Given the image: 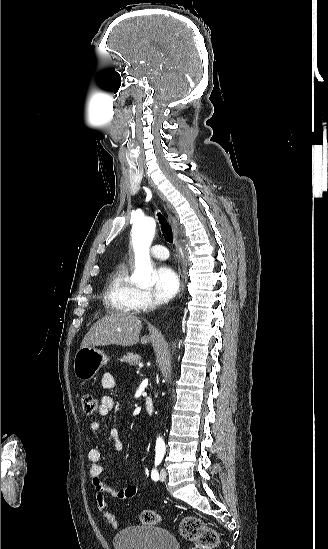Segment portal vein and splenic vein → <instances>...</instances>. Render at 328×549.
I'll return each instance as SVG.
<instances>
[{
    "label": "portal vein and splenic vein",
    "mask_w": 328,
    "mask_h": 549,
    "mask_svg": "<svg viewBox=\"0 0 328 549\" xmlns=\"http://www.w3.org/2000/svg\"><path fill=\"white\" fill-rule=\"evenodd\" d=\"M143 365L142 363H139V369H142Z\"/></svg>",
    "instance_id": "18ae733b"
}]
</instances>
